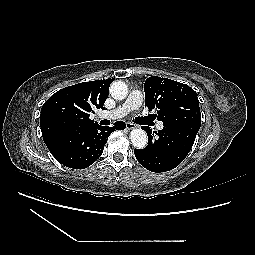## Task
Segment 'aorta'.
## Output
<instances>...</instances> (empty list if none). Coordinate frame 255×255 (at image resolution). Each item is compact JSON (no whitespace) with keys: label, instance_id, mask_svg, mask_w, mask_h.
<instances>
[{"label":"aorta","instance_id":"762f6f07","mask_svg":"<svg viewBox=\"0 0 255 255\" xmlns=\"http://www.w3.org/2000/svg\"><path fill=\"white\" fill-rule=\"evenodd\" d=\"M128 87L122 81L113 82L110 86V95L116 100H122L127 96ZM130 139L134 147L142 149L147 145V134L142 129H133Z\"/></svg>","mask_w":255,"mask_h":255}]
</instances>
